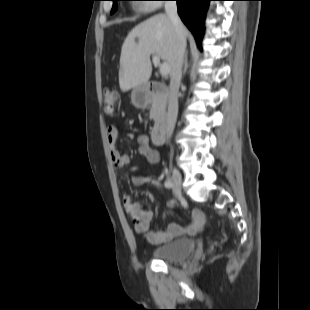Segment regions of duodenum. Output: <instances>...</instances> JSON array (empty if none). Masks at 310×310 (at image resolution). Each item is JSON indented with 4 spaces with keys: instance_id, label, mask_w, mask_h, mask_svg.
I'll return each instance as SVG.
<instances>
[{
    "instance_id": "obj_1",
    "label": "duodenum",
    "mask_w": 310,
    "mask_h": 310,
    "mask_svg": "<svg viewBox=\"0 0 310 310\" xmlns=\"http://www.w3.org/2000/svg\"><path fill=\"white\" fill-rule=\"evenodd\" d=\"M169 96L170 91L165 85L157 81L148 82L146 92H144V103L148 104L155 100L159 103V114L151 133V139L155 145H161L166 136V131L169 125V117L165 110V103L167 102Z\"/></svg>"
}]
</instances>
